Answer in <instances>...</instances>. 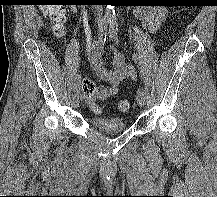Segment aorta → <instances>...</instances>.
I'll use <instances>...</instances> for the list:
<instances>
[{"mask_svg": "<svg viewBox=\"0 0 217 197\" xmlns=\"http://www.w3.org/2000/svg\"><path fill=\"white\" fill-rule=\"evenodd\" d=\"M105 17L107 19L115 18V10L113 6L107 5L106 11H105Z\"/></svg>", "mask_w": 217, "mask_h": 197, "instance_id": "762f6f07", "label": "aorta"}]
</instances>
